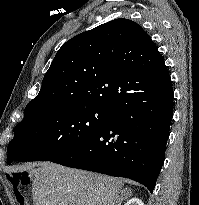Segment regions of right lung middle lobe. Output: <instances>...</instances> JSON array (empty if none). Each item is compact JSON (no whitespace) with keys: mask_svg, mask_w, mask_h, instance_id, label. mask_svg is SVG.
<instances>
[{"mask_svg":"<svg viewBox=\"0 0 199 205\" xmlns=\"http://www.w3.org/2000/svg\"><path fill=\"white\" fill-rule=\"evenodd\" d=\"M110 121V110L92 105L59 103L25 108L14 128L7 164L51 161L76 149Z\"/></svg>","mask_w":199,"mask_h":205,"instance_id":"dd1d6c3e","label":"right lung middle lobe"}]
</instances>
